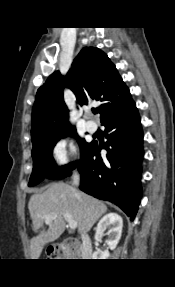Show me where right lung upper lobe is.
I'll use <instances>...</instances> for the list:
<instances>
[{
	"label": "right lung upper lobe",
	"instance_id": "1",
	"mask_svg": "<svg viewBox=\"0 0 175 287\" xmlns=\"http://www.w3.org/2000/svg\"><path fill=\"white\" fill-rule=\"evenodd\" d=\"M65 86L74 92L80 105L100 102L101 119L132 99L107 55L98 48L85 47L65 77L56 71L38 89L32 111V143L73 128L63 99Z\"/></svg>",
	"mask_w": 175,
	"mask_h": 287
}]
</instances>
